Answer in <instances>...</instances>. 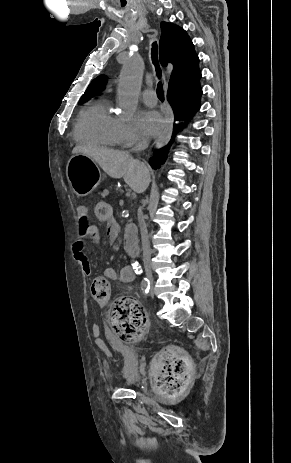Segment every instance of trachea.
Masks as SVG:
<instances>
[{
    "label": "trachea",
    "instance_id": "3493384b",
    "mask_svg": "<svg viewBox=\"0 0 291 463\" xmlns=\"http://www.w3.org/2000/svg\"><path fill=\"white\" fill-rule=\"evenodd\" d=\"M151 56H152V62L154 64L155 68H156V74L160 78L161 75H162V71H161V68H160L159 62H158V49H157L156 42H154L153 45H152ZM157 95H158V98L161 101L164 100V91H163V85H162L161 81H159L158 85H157Z\"/></svg>",
    "mask_w": 291,
    "mask_h": 463
}]
</instances>
